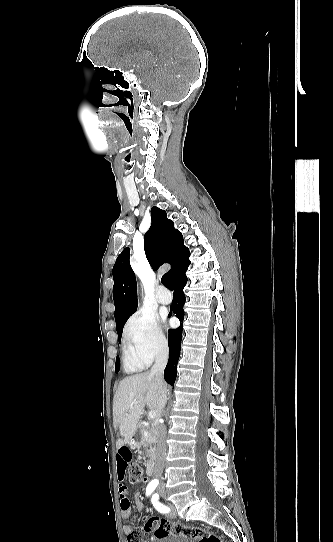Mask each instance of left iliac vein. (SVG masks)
<instances>
[{"mask_svg": "<svg viewBox=\"0 0 333 542\" xmlns=\"http://www.w3.org/2000/svg\"><path fill=\"white\" fill-rule=\"evenodd\" d=\"M169 507H170V513L168 514V516L173 518L176 516L175 507L172 503H169Z\"/></svg>", "mask_w": 333, "mask_h": 542, "instance_id": "left-iliac-vein-1", "label": "left iliac vein"}]
</instances>
